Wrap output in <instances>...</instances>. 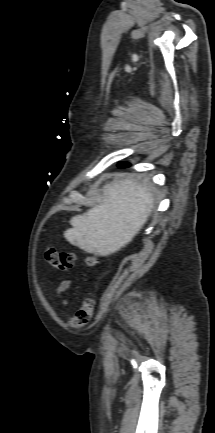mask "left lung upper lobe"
<instances>
[{"instance_id": "5c2ea615", "label": "left lung upper lobe", "mask_w": 215, "mask_h": 433, "mask_svg": "<svg viewBox=\"0 0 215 433\" xmlns=\"http://www.w3.org/2000/svg\"><path fill=\"white\" fill-rule=\"evenodd\" d=\"M128 163H119V165H127Z\"/></svg>"}]
</instances>
